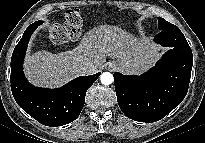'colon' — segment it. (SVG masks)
I'll return each instance as SVG.
<instances>
[{
	"mask_svg": "<svg viewBox=\"0 0 205 143\" xmlns=\"http://www.w3.org/2000/svg\"><path fill=\"white\" fill-rule=\"evenodd\" d=\"M82 16L78 8H69L64 12L63 24L49 23L46 32L56 44H65L75 41L81 32Z\"/></svg>",
	"mask_w": 205,
	"mask_h": 143,
	"instance_id": "obj_1",
	"label": "colon"
}]
</instances>
